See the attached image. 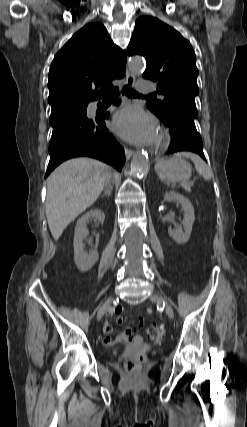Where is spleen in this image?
I'll return each instance as SVG.
<instances>
[{
	"instance_id": "spleen-1",
	"label": "spleen",
	"mask_w": 247,
	"mask_h": 427,
	"mask_svg": "<svg viewBox=\"0 0 247 427\" xmlns=\"http://www.w3.org/2000/svg\"><path fill=\"white\" fill-rule=\"evenodd\" d=\"M184 156L186 158H190L195 165L197 172L205 179L210 180L212 177L211 169L205 164V162L196 154L190 152H181L177 153L175 157ZM160 166V162L156 164V168Z\"/></svg>"
}]
</instances>
